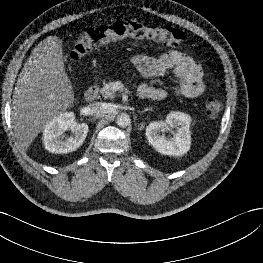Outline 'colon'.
Listing matches in <instances>:
<instances>
[{
    "instance_id": "1",
    "label": "colon",
    "mask_w": 263,
    "mask_h": 263,
    "mask_svg": "<svg viewBox=\"0 0 263 263\" xmlns=\"http://www.w3.org/2000/svg\"><path fill=\"white\" fill-rule=\"evenodd\" d=\"M127 38L153 40L172 47H179L185 42V34L175 28L149 27L137 22H117L81 32L73 40L71 56L78 59L96 47ZM221 110L222 103L218 99L209 98L206 101L205 112L208 117H217Z\"/></svg>"
}]
</instances>
